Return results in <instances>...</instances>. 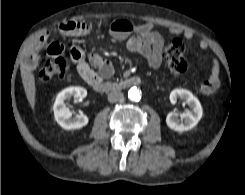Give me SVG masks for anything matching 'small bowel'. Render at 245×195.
<instances>
[{
  "mask_svg": "<svg viewBox=\"0 0 245 195\" xmlns=\"http://www.w3.org/2000/svg\"><path fill=\"white\" fill-rule=\"evenodd\" d=\"M109 29L111 34L117 39H126L127 48L140 54L151 68H159L163 62L164 39L162 35L155 30L151 23L133 25L130 21L124 19H104L100 23ZM96 27L95 23H82L76 21H67L59 26L60 33L67 36H87ZM173 35H182L187 40L194 38L191 30H182L178 27L169 29ZM49 39V33L46 32L38 37L31 46L27 60L28 65L34 68L39 59L40 50L46 45ZM198 45L201 49L208 48V42L200 38ZM64 47L60 42H52L47 47V52L51 56H60ZM70 55L76 64L77 71L81 78L88 84L93 85L101 79H108L114 74L112 63L98 53H92L88 57L83 50L75 45L70 50ZM221 83L219 62L214 59L209 77L197 84L196 90L203 95L214 93Z\"/></svg>",
  "mask_w": 245,
  "mask_h": 195,
  "instance_id": "obj_1",
  "label": "small bowel"
}]
</instances>
